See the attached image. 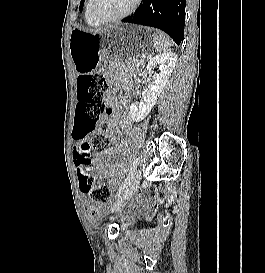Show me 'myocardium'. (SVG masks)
<instances>
[{"label": "myocardium", "instance_id": "obj_1", "mask_svg": "<svg viewBox=\"0 0 265 273\" xmlns=\"http://www.w3.org/2000/svg\"><path fill=\"white\" fill-rule=\"evenodd\" d=\"M140 2H141V0H134L132 6L124 13L119 14L114 17L105 18V17L100 16L96 12L95 6L97 3V0H90L89 13L100 24L115 23V22L121 21V20L129 17L131 14H133L136 11V9L138 8Z\"/></svg>", "mask_w": 265, "mask_h": 273}]
</instances>
